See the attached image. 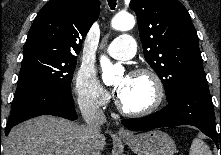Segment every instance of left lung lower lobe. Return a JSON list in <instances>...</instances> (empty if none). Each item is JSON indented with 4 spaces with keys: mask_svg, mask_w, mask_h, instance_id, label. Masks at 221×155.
I'll return each instance as SVG.
<instances>
[{
    "mask_svg": "<svg viewBox=\"0 0 221 155\" xmlns=\"http://www.w3.org/2000/svg\"><path fill=\"white\" fill-rule=\"evenodd\" d=\"M122 124L133 131L178 125H192L211 137L216 145L215 114L207 82L190 84L160 111L144 118L124 119ZM221 145V135H220Z\"/></svg>",
    "mask_w": 221,
    "mask_h": 155,
    "instance_id": "obj_1",
    "label": "left lung lower lobe"
}]
</instances>
